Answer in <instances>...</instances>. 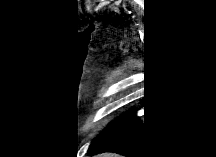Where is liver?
<instances>
[{
	"mask_svg": "<svg viewBox=\"0 0 216 157\" xmlns=\"http://www.w3.org/2000/svg\"><path fill=\"white\" fill-rule=\"evenodd\" d=\"M98 157H118L116 154L106 153V154H99Z\"/></svg>",
	"mask_w": 216,
	"mask_h": 157,
	"instance_id": "6515ba94",
	"label": "liver"
}]
</instances>
